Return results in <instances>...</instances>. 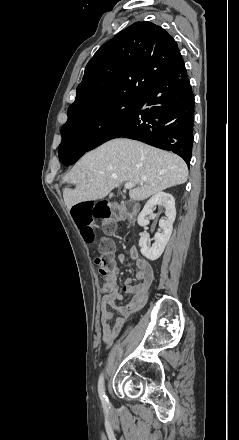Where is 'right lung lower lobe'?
<instances>
[{"mask_svg":"<svg viewBox=\"0 0 239 440\" xmlns=\"http://www.w3.org/2000/svg\"><path fill=\"white\" fill-rule=\"evenodd\" d=\"M140 108H144L140 111ZM194 96L183 59L149 87L120 122L98 135L87 148L67 147L60 161L74 164L86 151L118 137L139 140L172 151L190 165L193 146Z\"/></svg>","mask_w":239,"mask_h":440,"instance_id":"98d812e1","label":"right lung lower lobe"}]
</instances>
